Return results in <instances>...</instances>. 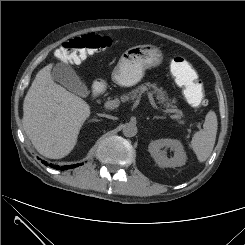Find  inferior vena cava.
<instances>
[{"instance_id": "inferior-vena-cava-1", "label": "inferior vena cava", "mask_w": 245, "mask_h": 245, "mask_svg": "<svg viewBox=\"0 0 245 245\" xmlns=\"http://www.w3.org/2000/svg\"><path fill=\"white\" fill-rule=\"evenodd\" d=\"M98 116H100V117H106V118H109V119H115V117H113L111 115H107V114H98Z\"/></svg>"}]
</instances>
